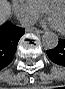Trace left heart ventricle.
Returning <instances> with one entry per match:
<instances>
[{"label":"left heart ventricle","instance_id":"1","mask_svg":"<svg viewBox=\"0 0 65 89\" xmlns=\"http://www.w3.org/2000/svg\"><path fill=\"white\" fill-rule=\"evenodd\" d=\"M48 13L65 29V7L62 4H52L48 7Z\"/></svg>","mask_w":65,"mask_h":89}]
</instances>
